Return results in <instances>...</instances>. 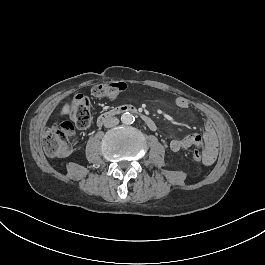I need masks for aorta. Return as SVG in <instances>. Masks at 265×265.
<instances>
[{
  "mask_svg": "<svg viewBox=\"0 0 265 265\" xmlns=\"http://www.w3.org/2000/svg\"><path fill=\"white\" fill-rule=\"evenodd\" d=\"M121 121L123 124L126 125H131L134 123L135 121V117L134 115H132L130 112H125L122 116H121Z\"/></svg>",
  "mask_w": 265,
  "mask_h": 265,
  "instance_id": "aorta-1",
  "label": "aorta"
}]
</instances>
